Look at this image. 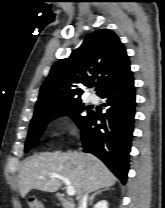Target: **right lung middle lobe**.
I'll return each instance as SVG.
<instances>
[{"label": "right lung middle lobe", "instance_id": "right-lung-middle-lobe-1", "mask_svg": "<svg viewBox=\"0 0 165 208\" xmlns=\"http://www.w3.org/2000/svg\"><path fill=\"white\" fill-rule=\"evenodd\" d=\"M85 110H88V108L79 99L50 105L35 112L30 123L25 151L30 150L37 143L48 122L61 115L71 116L75 123L81 127L91 113L89 111L87 115H81Z\"/></svg>", "mask_w": 165, "mask_h": 208}]
</instances>
